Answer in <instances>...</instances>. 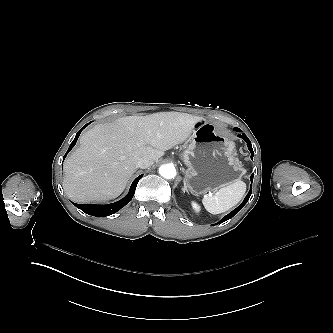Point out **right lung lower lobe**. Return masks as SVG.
I'll use <instances>...</instances> for the list:
<instances>
[{
    "label": "right lung lower lobe",
    "mask_w": 333,
    "mask_h": 333,
    "mask_svg": "<svg viewBox=\"0 0 333 333\" xmlns=\"http://www.w3.org/2000/svg\"><path fill=\"white\" fill-rule=\"evenodd\" d=\"M88 124H86L85 126H83L82 129H80L78 131V133L76 134L74 140L72 141V143L69 146V149L67 151V153L74 147V145L77 142V139L81 133V131L88 126ZM67 153L65 154L64 158L66 157ZM143 175L138 176L132 183L129 193L122 198L121 200L111 203V204H107V205H96V204H75L73 203L76 207H78L79 209H81L83 212L92 215V216H97V217H105V216H109L111 214L116 213L117 211H119L121 208H123L127 203L130 202V200L133 198L134 193H135V189L137 186V183L139 181V179L142 177Z\"/></svg>",
    "instance_id": "obj_1"
}]
</instances>
